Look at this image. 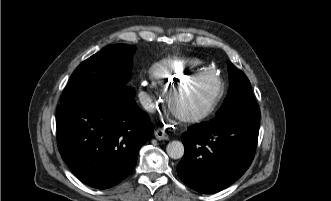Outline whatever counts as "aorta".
Wrapping results in <instances>:
<instances>
[{
    "instance_id": "aorta-1",
    "label": "aorta",
    "mask_w": 331,
    "mask_h": 201,
    "mask_svg": "<svg viewBox=\"0 0 331 201\" xmlns=\"http://www.w3.org/2000/svg\"><path fill=\"white\" fill-rule=\"evenodd\" d=\"M167 154L172 159L182 158L184 155V145L180 141H172L167 145Z\"/></svg>"
}]
</instances>
